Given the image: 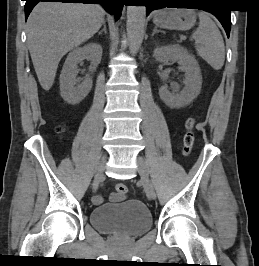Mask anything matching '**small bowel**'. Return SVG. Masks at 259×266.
Returning <instances> with one entry per match:
<instances>
[{
  "label": "small bowel",
  "mask_w": 259,
  "mask_h": 266,
  "mask_svg": "<svg viewBox=\"0 0 259 266\" xmlns=\"http://www.w3.org/2000/svg\"><path fill=\"white\" fill-rule=\"evenodd\" d=\"M125 195L122 196V195H119L117 194L116 192L115 193H112L111 196H110V199L113 201V202H119V201H122L124 199ZM93 202L94 204L96 205H100L104 202V198L101 196V195H96L94 198H93Z\"/></svg>",
  "instance_id": "small-bowel-1"
}]
</instances>
